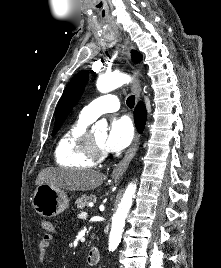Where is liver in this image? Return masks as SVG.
Returning a JSON list of instances; mask_svg holds the SVG:
<instances>
[{
    "label": "liver",
    "instance_id": "obj_1",
    "mask_svg": "<svg viewBox=\"0 0 221 268\" xmlns=\"http://www.w3.org/2000/svg\"><path fill=\"white\" fill-rule=\"evenodd\" d=\"M103 180L102 173L95 170L48 167L40 171L35 184H49L70 191H87L100 187Z\"/></svg>",
    "mask_w": 221,
    "mask_h": 268
}]
</instances>
